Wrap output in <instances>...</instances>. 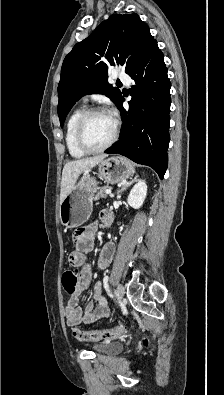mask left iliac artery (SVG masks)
Instances as JSON below:
<instances>
[{"label":"left iliac artery","instance_id":"44dca946","mask_svg":"<svg viewBox=\"0 0 224 395\" xmlns=\"http://www.w3.org/2000/svg\"><path fill=\"white\" fill-rule=\"evenodd\" d=\"M108 279H109L108 276H106V277L104 278V288H105V290L107 291L108 295H109L110 297H113L112 293L110 292L109 286H108Z\"/></svg>","mask_w":224,"mask_h":395}]
</instances>
